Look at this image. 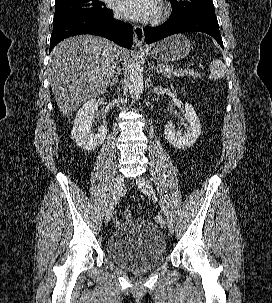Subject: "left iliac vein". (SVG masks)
I'll return each mask as SVG.
<instances>
[{"mask_svg":"<svg viewBox=\"0 0 272 303\" xmlns=\"http://www.w3.org/2000/svg\"><path fill=\"white\" fill-rule=\"evenodd\" d=\"M136 184L138 186V188L141 190L142 193H144L147 196H153L154 195V191L153 188L150 184V181L148 179H146L143 176H140L136 179ZM166 224H167V228L168 230L173 233L174 231V226H173V222H167L166 219Z\"/></svg>","mask_w":272,"mask_h":303,"instance_id":"4c4485c4","label":"left iliac vein"}]
</instances>
